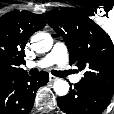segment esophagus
I'll use <instances>...</instances> for the list:
<instances>
[{
    "label": "esophagus",
    "mask_w": 114,
    "mask_h": 114,
    "mask_svg": "<svg viewBox=\"0 0 114 114\" xmlns=\"http://www.w3.org/2000/svg\"><path fill=\"white\" fill-rule=\"evenodd\" d=\"M58 78L56 77V76H53V75H50L49 76V80L51 81V82H54V81H56Z\"/></svg>",
    "instance_id": "obj_1"
}]
</instances>
